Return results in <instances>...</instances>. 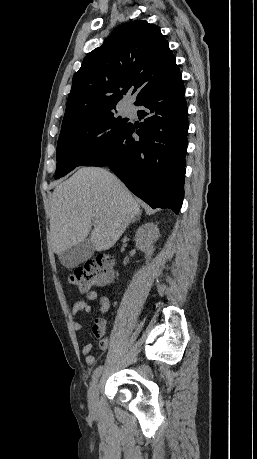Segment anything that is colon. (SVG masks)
Masks as SVG:
<instances>
[{"label": "colon", "mask_w": 257, "mask_h": 459, "mask_svg": "<svg viewBox=\"0 0 257 459\" xmlns=\"http://www.w3.org/2000/svg\"><path fill=\"white\" fill-rule=\"evenodd\" d=\"M112 259L101 257L87 261L83 266L75 268L70 274V282L81 292H87L93 286L104 285L110 281Z\"/></svg>", "instance_id": "obj_1"}]
</instances>
